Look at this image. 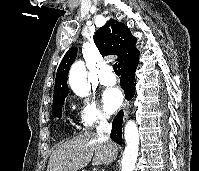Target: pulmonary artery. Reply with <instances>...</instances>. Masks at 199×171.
I'll return each instance as SVG.
<instances>
[{
	"mask_svg": "<svg viewBox=\"0 0 199 171\" xmlns=\"http://www.w3.org/2000/svg\"><path fill=\"white\" fill-rule=\"evenodd\" d=\"M99 81L104 86H111L116 83V76L109 65H104L100 68Z\"/></svg>",
	"mask_w": 199,
	"mask_h": 171,
	"instance_id": "e3ab8cb5",
	"label": "pulmonary artery"
}]
</instances>
